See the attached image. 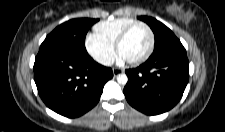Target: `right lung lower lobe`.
<instances>
[{
  "label": "right lung lower lobe",
  "mask_w": 225,
  "mask_h": 132,
  "mask_svg": "<svg viewBox=\"0 0 225 132\" xmlns=\"http://www.w3.org/2000/svg\"><path fill=\"white\" fill-rule=\"evenodd\" d=\"M112 69L95 62L88 53L40 48L34 79L43 102L65 117L83 115L99 101Z\"/></svg>",
  "instance_id": "98d812e1"
}]
</instances>
